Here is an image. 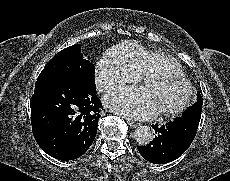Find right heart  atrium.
I'll return each mask as SVG.
<instances>
[{"instance_id": "1", "label": "right heart atrium", "mask_w": 230, "mask_h": 181, "mask_svg": "<svg viewBox=\"0 0 230 181\" xmlns=\"http://www.w3.org/2000/svg\"><path fill=\"white\" fill-rule=\"evenodd\" d=\"M133 77L124 70L115 68L107 61V56L102 59L95 69V81L99 90L109 92L117 90L132 81Z\"/></svg>"}]
</instances>
